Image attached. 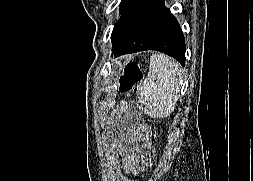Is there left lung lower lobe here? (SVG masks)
Listing matches in <instances>:
<instances>
[{"label":"left lung lower lobe","mask_w":253,"mask_h":181,"mask_svg":"<svg viewBox=\"0 0 253 181\" xmlns=\"http://www.w3.org/2000/svg\"><path fill=\"white\" fill-rule=\"evenodd\" d=\"M143 50L163 52L185 65L184 36L164 0H133L114 26V56Z\"/></svg>","instance_id":"0a47b994"}]
</instances>
